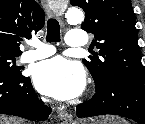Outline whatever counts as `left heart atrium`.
Wrapping results in <instances>:
<instances>
[{"mask_svg": "<svg viewBox=\"0 0 145 124\" xmlns=\"http://www.w3.org/2000/svg\"><path fill=\"white\" fill-rule=\"evenodd\" d=\"M33 81L40 92L59 100H68L82 92L85 75L79 64L56 56L36 65Z\"/></svg>", "mask_w": 145, "mask_h": 124, "instance_id": "obj_1", "label": "left heart atrium"}]
</instances>
